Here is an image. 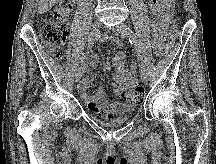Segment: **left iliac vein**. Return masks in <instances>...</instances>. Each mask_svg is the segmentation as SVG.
<instances>
[{
  "instance_id": "1",
  "label": "left iliac vein",
  "mask_w": 216,
  "mask_h": 164,
  "mask_svg": "<svg viewBox=\"0 0 216 164\" xmlns=\"http://www.w3.org/2000/svg\"><path fill=\"white\" fill-rule=\"evenodd\" d=\"M130 30L131 29L125 24H122L119 27L113 28V32H115L117 35H119L122 38L128 37ZM140 77L143 83L147 82L148 77H147V72L145 69L141 70Z\"/></svg>"
}]
</instances>
